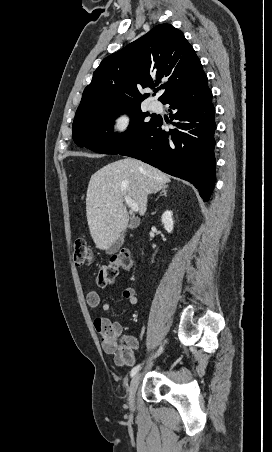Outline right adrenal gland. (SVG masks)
<instances>
[{
  "instance_id": "2a0ac1e0",
  "label": "right adrenal gland",
  "mask_w": 272,
  "mask_h": 452,
  "mask_svg": "<svg viewBox=\"0 0 272 452\" xmlns=\"http://www.w3.org/2000/svg\"><path fill=\"white\" fill-rule=\"evenodd\" d=\"M167 187H168V185H165V186H163V188H162V190H161V192H160V195L157 197V199L156 200H158V198L160 197V196H167Z\"/></svg>"
}]
</instances>
